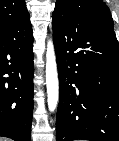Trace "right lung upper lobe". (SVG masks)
I'll use <instances>...</instances> for the list:
<instances>
[{"instance_id": "1", "label": "right lung upper lobe", "mask_w": 119, "mask_h": 141, "mask_svg": "<svg viewBox=\"0 0 119 141\" xmlns=\"http://www.w3.org/2000/svg\"><path fill=\"white\" fill-rule=\"evenodd\" d=\"M29 17L25 0H0V25Z\"/></svg>"}]
</instances>
